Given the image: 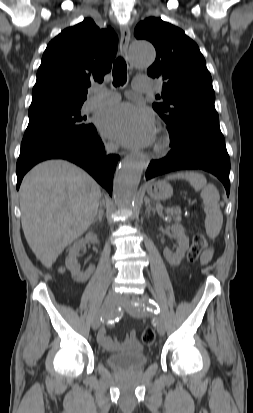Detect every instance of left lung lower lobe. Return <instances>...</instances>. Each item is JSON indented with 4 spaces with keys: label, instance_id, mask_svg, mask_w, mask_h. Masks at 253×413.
Wrapping results in <instances>:
<instances>
[{
    "label": "left lung lower lobe",
    "instance_id": "left-lung-lower-lobe-1",
    "mask_svg": "<svg viewBox=\"0 0 253 413\" xmlns=\"http://www.w3.org/2000/svg\"><path fill=\"white\" fill-rule=\"evenodd\" d=\"M172 149L166 157L151 161L146 179L180 169H202L218 177L230 192V159L219 121L195 119L168 129Z\"/></svg>",
    "mask_w": 253,
    "mask_h": 413
}]
</instances>
